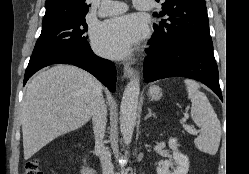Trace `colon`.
<instances>
[{
  "label": "colon",
  "mask_w": 249,
  "mask_h": 174,
  "mask_svg": "<svg viewBox=\"0 0 249 174\" xmlns=\"http://www.w3.org/2000/svg\"><path fill=\"white\" fill-rule=\"evenodd\" d=\"M23 174H43L39 160L36 158L29 160L24 167Z\"/></svg>",
  "instance_id": "colon-1"
}]
</instances>
